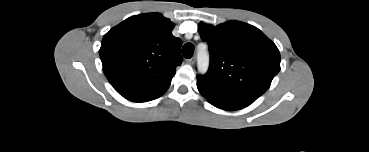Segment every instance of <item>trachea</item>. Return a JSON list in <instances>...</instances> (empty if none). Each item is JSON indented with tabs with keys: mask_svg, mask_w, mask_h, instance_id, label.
Returning a JSON list of instances; mask_svg holds the SVG:
<instances>
[{
	"mask_svg": "<svg viewBox=\"0 0 369 152\" xmlns=\"http://www.w3.org/2000/svg\"><path fill=\"white\" fill-rule=\"evenodd\" d=\"M194 53V45L191 43H187L182 48V54L185 58L190 59Z\"/></svg>",
	"mask_w": 369,
	"mask_h": 152,
	"instance_id": "3493384b",
	"label": "trachea"
}]
</instances>
